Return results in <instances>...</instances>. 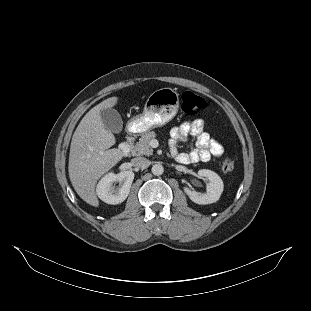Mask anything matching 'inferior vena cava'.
<instances>
[{
  "mask_svg": "<svg viewBox=\"0 0 311 311\" xmlns=\"http://www.w3.org/2000/svg\"><path fill=\"white\" fill-rule=\"evenodd\" d=\"M131 163L134 167H138L141 169H146L150 165L149 160L142 157H136L132 159Z\"/></svg>",
  "mask_w": 311,
  "mask_h": 311,
  "instance_id": "obj_1",
  "label": "inferior vena cava"
}]
</instances>
